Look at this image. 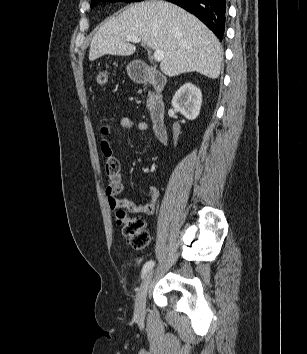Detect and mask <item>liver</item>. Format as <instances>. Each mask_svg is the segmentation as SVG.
<instances>
[{
    "label": "liver",
    "instance_id": "6515ba94",
    "mask_svg": "<svg viewBox=\"0 0 307 354\" xmlns=\"http://www.w3.org/2000/svg\"><path fill=\"white\" fill-rule=\"evenodd\" d=\"M127 36L138 37L155 50H163L161 71L169 76L198 72L219 77L222 47L214 33L184 9L162 0H147L129 6L105 22L91 40L89 60L103 55L130 56L136 47Z\"/></svg>",
    "mask_w": 307,
    "mask_h": 354
}]
</instances>
